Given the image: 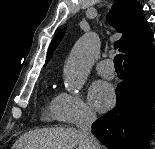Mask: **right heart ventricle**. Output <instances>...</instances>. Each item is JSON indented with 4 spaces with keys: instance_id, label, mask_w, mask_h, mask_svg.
I'll use <instances>...</instances> for the list:
<instances>
[{
    "instance_id": "e07e8e85",
    "label": "right heart ventricle",
    "mask_w": 155,
    "mask_h": 149,
    "mask_svg": "<svg viewBox=\"0 0 155 149\" xmlns=\"http://www.w3.org/2000/svg\"><path fill=\"white\" fill-rule=\"evenodd\" d=\"M57 117H58L57 103H56V97H54L46 103L43 111V118L45 120H52L56 119Z\"/></svg>"
}]
</instances>
